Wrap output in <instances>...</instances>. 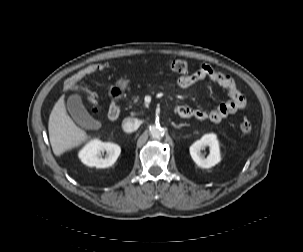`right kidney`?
<instances>
[{"mask_svg":"<svg viewBox=\"0 0 303 252\" xmlns=\"http://www.w3.org/2000/svg\"><path fill=\"white\" fill-rule=\"evenodd\" d=\"M106 152L105 158L102 154ZM121 152L119 145L110 142L93 140L89 142L80 152L81 161L90 167L107 168L112 166L118 159Z\"/></svg>","mask_w":303,"mask_h":252,"instance_id":"obj_1","label":"right kidney"}]
</instances>
